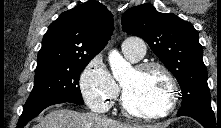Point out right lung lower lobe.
Segmentation results:
<instances>
[{
  "label": "right lung lower lobe",
  "mask_w": 221,
  "mask_h": 128,
  "mask_svg": "<svg viewBox=\"0 0 221 128\" xmlns=\"http://www.w3.org/2000/svg\"><path fill=\"white\" fill-rule=\"evenodd\" d=\"M64 102L75 103V102L69 101V100L56 99V100L45 101V102L36 104V105L28 107V108H24L23 113L20 116V119L18 121L17 128H23L27 124V122H29L31 119L36 117L46 107L53 105V104H59V103H64ZM75 104H77V103H75Z\"/></svg>",
  "instance_id": "98d812e1"
}]
</instances>
